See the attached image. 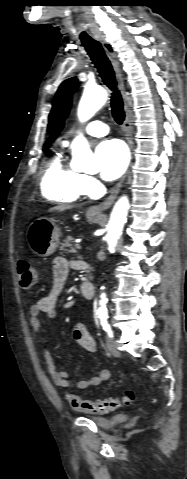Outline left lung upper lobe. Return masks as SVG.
Listing matches in <instances>:
<instances>
[{"instance_id":"left-lung-upper-lobe-1","label":"left lung upper lobe","mask_w":187,"mask_h":479,"mask_svg":"<svg viewBox=\"0 0 187 479\" xmlns=\"http://www.w3.org/2000/svg\"><path fill=\"white\" fill-rule=\"evenodd\" d=\"M77 85L76 78H70L64 81L59 87L53 102V108L49 114L48 132H51L60 119L65 108L68 97Z\"/></svg>"}]
</instances>
